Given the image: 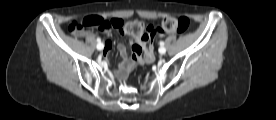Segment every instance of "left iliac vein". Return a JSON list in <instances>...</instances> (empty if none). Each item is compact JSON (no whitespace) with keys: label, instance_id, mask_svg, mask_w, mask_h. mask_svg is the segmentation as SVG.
Wrapping results in <instances>:
<instances>
[{"label":"left iliac vein","instance_id":"4c4485c4","mask_svg":"<svg viewBox=\"0 0 276 120\" xmlns=\"http://www.w3.org/2000/svg\"><path fill=\"white\" fill-rule=\"evenodd\" d=\"M159 52H160V54H165L166 53L165 47H160Z\"/></svg>","mask_w":276,"mask_h":120}]
</instances>
